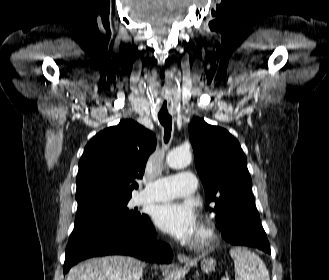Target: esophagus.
<instances>
[{"label": "esophagus", "instance_id": "esophagus-1", "mask_svg": "<svg viewBox=\"0 0 329 280\" xmlns=\"http://www.w3.org/2000/svg\"><path fill=\"white\" fill-rule=\"evenodd\" d=\"M177 258L181 263L187 264L190 262V257L185 254H179Z\"/></svg>", "mask_w": 329, "mask_h": 280}]
</instances>
